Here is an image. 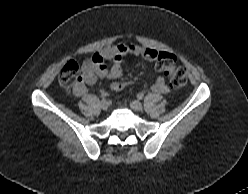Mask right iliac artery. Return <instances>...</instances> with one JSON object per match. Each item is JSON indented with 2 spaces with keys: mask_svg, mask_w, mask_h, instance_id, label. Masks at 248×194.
I'll return each mask as SVG.
<instances>
[{
  "mask_svg": "<svg viewBox=\"0 0 248 194\" xmlns=\"http://www.w3.org/2000/svg\"><path fill=\"white\" fill-rule=\"evenodd\" d=\"M107 95L108 94L106 92L105 93H102V101L105 100L104 98L107 97Z\"/></svg>",
  "mask_w": 248,
  "mask_h": 194,
  "instance_id": "obj_1",
  "label": "right iliac artery"
}]
</instances>
